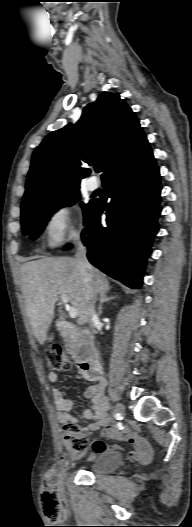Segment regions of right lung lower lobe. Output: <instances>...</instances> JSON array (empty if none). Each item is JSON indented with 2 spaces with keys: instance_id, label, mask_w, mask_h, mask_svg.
<instances>
[{
  "instance_id": "right-lung-lower-lobe-1",
  "label": "right lung lower lobe",
  "mask_w": 192,
  "mask_h": 527,
  "mask_svg": "<svg viewBox=\"0 0 192 527\" xmlns=\"http://www.w3.org/2000/svg\"><path fill=\"white\" fill-rule=\"evenodd\" d=\"M102 183L112 200L107 206L93 201L84 217L87 257L107 275L138 289L161 212L159 168L148 141ZM103 211L106 225L101 224Z\"/></svg>"
}]
</instances>
